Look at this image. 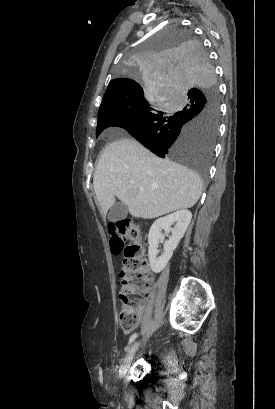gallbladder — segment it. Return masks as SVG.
Segmentation results:
<instances>
[{
	"label": "gallbladder",
	"instance_id": "bac80fb5",
	"mask_svg": "<svg viewBox=\"0 0 275 409\" xmlns=\"http://www.w3.org/2000/svg\"><path fill=\"white\" fill-rule=\"evenodd\" d=\"M128 215V209L123 202H115V205L111 207L109 215L107 217L110 223H116V221H123Z\"/></svg>",
	"mask_w": 275,
	"mask_h": 409
}]
</instances>
